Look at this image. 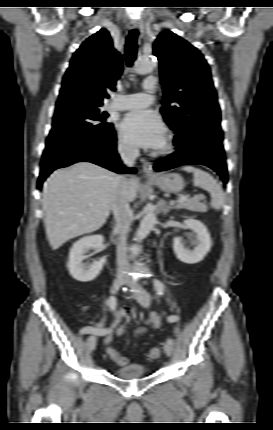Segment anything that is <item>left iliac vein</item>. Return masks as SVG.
I'll list each match as a JSON object with an SVG mask.
<instances>
[{
    "mask_svg": "<svg viewBox=\"0 0 273 430\" xmlns=\"http://www.w3.org/2000/svg\"><path fill=\"white\" fill-rule=\"evenodd\" d=\"M138 292L136 293V299L139 302V304L147 308L150 305V294L141 286L137 285ZM174 349V340L173 339H167L164 350L167 356H171Z\"/></svg>",
    "mask_w": 273,
    "mask_h": 430,
    "instance_id": "4c4485c4",
    "label": "left iliac vein"
}]
</instances>
